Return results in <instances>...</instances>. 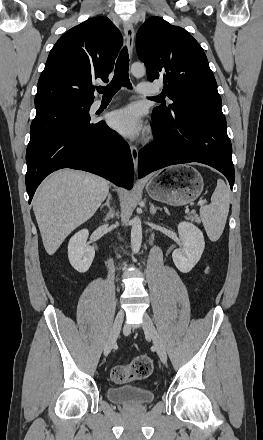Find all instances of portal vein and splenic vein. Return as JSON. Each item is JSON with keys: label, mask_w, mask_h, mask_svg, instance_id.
<instances>
[{"label": "portal vein and splenic vein", "mask_w": 263, "mask_h": 440, "mask_svg": "<svg viewBox=\"0 0 263 440\" xmlns=\"http://www.w3.org/2000/svg\"><path fill=\"white\" fill-rule=\"evenodd\" d=\"M205 203H207L205 200H200V201L198 202V205H204Z\"/></svg>", "instance_id": "portal-vein-and-splenic-vein-1"}]
</instances>
